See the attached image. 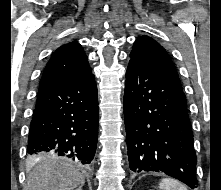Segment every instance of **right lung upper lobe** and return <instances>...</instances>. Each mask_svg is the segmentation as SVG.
Listing matches in <instances>:
<instances>
[{"mask_svg": "<svg viewBox=\"0 0 221 190\" xmlns=\"http://www.w3.org/2000/svg\"><path fill=\"white\" fill-rule=\"evenodd\" d=\"M91 74L81 45L72 41L60 46L51 56L43 72L38 94Z\"/></svg>", "mask_w": 221, "mask_h": 190, "instance_id": "right-lung-upper-lobe-1", "label": "right lung upper lobe"}]
</instances>
